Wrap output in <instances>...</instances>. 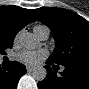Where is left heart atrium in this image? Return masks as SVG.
<instances>
[{"mask_svg": "<svg viewBox=\"0 0 89 89\" xmlns=\"http://www.w3.org/2000/svg\"><path fill=\"white\" fill-rule=\"evenodd\" d=\"M44 57L45 53L34 51H23L18 55V59L29 66L38 65Z\"/></svg>", "mask_w": 89, "mask_h": 89, "instance_id": "obj_1", "label": "left heart atrium"}]
</instances>
